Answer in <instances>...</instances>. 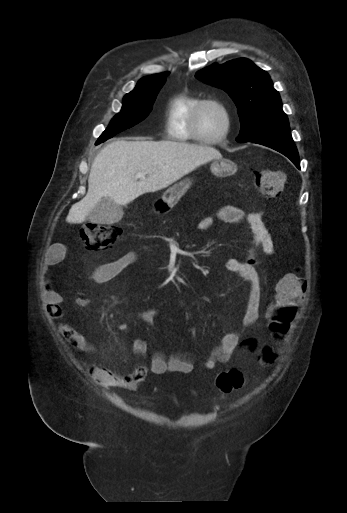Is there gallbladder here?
<instances>
[{
  "instance_id": "gallbladder-1",
  "label": "gallbladder",
  "mask_w": 347,
  "mask_h": 513,
  "mask_svg": "<svg viewBox=\"0 0 347 513\" xmlns=\"http://www.w3.org/2000/svg\"><path fill=\"white\" fill-rule=\"evenodd\" d=\"M123 207L114 203L109 198H103L89 212L87 219L96 224H113L119 222L123 217Z\"/></svg>"
}]
</instances>
